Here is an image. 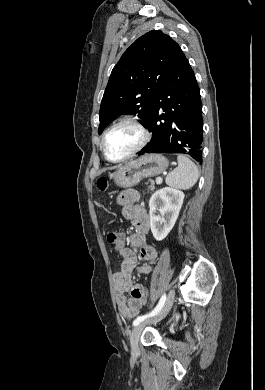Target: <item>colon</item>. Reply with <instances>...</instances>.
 Instances as JSON below:
<instances>
[{"label": "colon", "instance_id": "obj_1", "mask_svg": "<svg viewBox=\"0 0 265 390\" xmlns=\"http://www.w3.org/2000/svg\"><path fill=\"white\" fill-rule=\"evenodd\" d=\"M107 186H108V182H107L106 178L101 177L97 180V187L99 190L105 191L107 189ZM107 241L109 244L116 246L117 241H118L117 232H115V231L108 232ZM140 298H141L142 304H146L148 302L147 292L144 291V292L140 293Z\"/></svg>", "mask_w": 265, "mask_h": 390}]
</instances>
